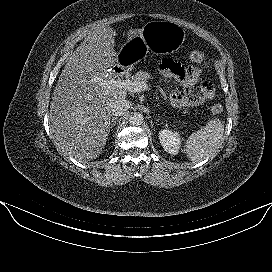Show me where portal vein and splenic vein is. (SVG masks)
<instances>
[{"label":"portal vein and splenic vein","mask_w":272,"mask_h":272,"mask_svg":"<svg viewBox=\"0 0 272 272\" xmlns=\"http://www.w3.org/2000/svg\"><path fill=\"white\" fill-rule=\"evenodd\" d=\"M96 82H99V85L111 89V88H120L132 93L142 92L148 89V85L145 82L132 81L130 79H109L102 80L100 78H95ZM107 93H105L106 95Z\"/></svg>","instance_id":"portal-vein-and-splenic-vein-1"}]
</instances>
